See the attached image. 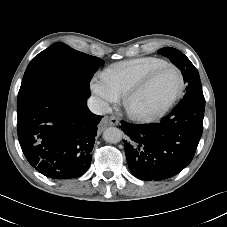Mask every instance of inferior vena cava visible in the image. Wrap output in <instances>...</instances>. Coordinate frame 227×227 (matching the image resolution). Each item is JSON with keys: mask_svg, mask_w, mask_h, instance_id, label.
<instances>
[{"mask_svg": "<svg viewBox=\"0 0 227 227\" xmlns=\"http://www.w3.org/2000/svg\"><path fill=\"white\" fill-rule=\"evenodd\" d=\"M87 105L89 110L96 115H104L110 110L108 103L95 96L88 99Z\"/></svg>", "mask_w": 227, "mask_h": 227, "instance_id": "inferior-vena-cava-1", "label": "inferior vena cava"}]
</instances>
